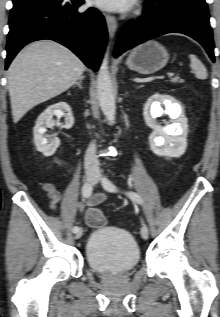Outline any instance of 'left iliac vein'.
Segmentation results:
<instances>
[{"mask_svg": "<svg viewBox=\"0 0 220 317\" xmlns=\"http://www.w3.org/2000/svg\"><path fill=\"white\" fill-rule=\"evenodd\" d=\"M98 182H99V176H96V178H95V180L93 181V183H94L95 185H97ZM140 233H141V236H142L143 239H145V240L148 239L149 230H148V227H147L146 224H143V225H142Z\"/></svg>", "mask_w": 220, "mask_h": 317, "instance_id": "4c4485c4", "label": "left iliac vein"}]
</instances>
